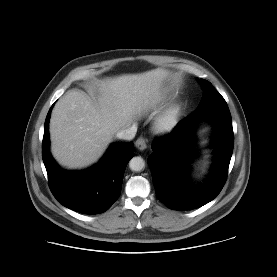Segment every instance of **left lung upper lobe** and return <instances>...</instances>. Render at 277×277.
<instances>
[{"instance_id": "5c2ea615", "label": "left lung upper lobe", "mask_w": 277, "mask_h": 277, "mask_svg": "<svg viewBox=\"0 0 277 277\" xmlns=\"http://www.w3.org/2000/svg\"><path fill=\"white\" fill-rule=\"evenodd\" d=\"M203 85L204 95L195 111L204 109L210 105L217 103H226L220 93L213 87V85L204 79H200Z\"/></svg>"}]
</instances>
